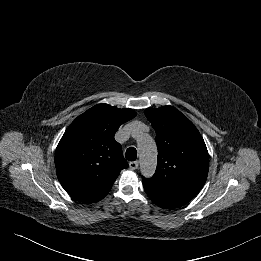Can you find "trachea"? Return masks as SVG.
Segmentation results:
<instances>
[{
	"mask_svg": "<svg viewBox=\"0 0 261 261\" xmlns=\"http://www.w3.org/2000/svg\"><path fill=\"white\" fill-rule=\"evenodd\" d=\"M125 157L128 161H135L137 158V151L134 147H130L126 150Z\"/></svg>",
	"mask_w": 261,
	"mask_h": 261,
	"instance_id": "obj_1",
	"label": "trachea"
}]
</instances>
